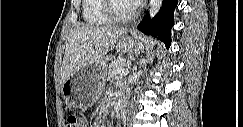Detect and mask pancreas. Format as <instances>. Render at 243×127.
I'll return each mask as SVG.
<instances>
[{
    "mask_svg": "<svg viewBox=\"0 0 243 127\" xmlns=\"http://www.w3.org/2000/svg\"><path fill=\"white\" fill-rule=\"evenodd\" d=\"M118 68H123V62L121 60H115L113 61L109 66H108V69H107V72H106V79L107 80H110V79H114V78H117L118 77V74H116V70Z\"/></svg>",
    "mask_w": 243,
    "mask_h": 127,
    "instance_id": "cf45deb5",
    "label": "pancreas"
}]
</instances>
